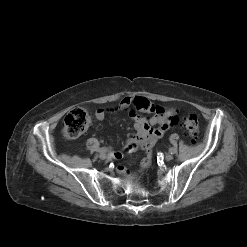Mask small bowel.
<instances>
[{
  "mask_svg": "<svg viewBox=\"0 0 247 247\" xmlns=\"http://www.w3.org/2000/svg\"><path fill=\"white\" fill-rule=\"evenodd\" d=\"M122 111L129 112L136 130V134L127 139L125 149L128 152L139 149L147 152V157L141 162V170H144L150 165L152 146L164 135L172 123H176L177 110L155 105L143 97H125L114 107L97 109L95 117L97 120H103L107 113L116 114ZM139 112L149 113L150 116L145 117ZM115 158L121 159L122 153H116ZM117 170L120 174H128L123 166H118Z\"/></svg>",
  "mask_w": 247,
  "mask_h": 247,
  "instance_id": "obj_1",
  "label": "small bowel"
}]
</instances>
